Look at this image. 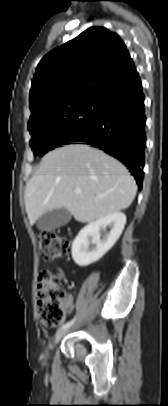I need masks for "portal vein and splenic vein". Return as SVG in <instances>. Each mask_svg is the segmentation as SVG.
Returning a JSON list of instances; mask_svg holds the SVG:
<instances>
[{
    "instance_id": "18ae733b",
    "label": "portal vein and splenic vein",
    "mask_w": 168,
    "mask_h": 406,
    "mask_svg": "<svg viewBox=\"0 0 168 406\" xmlns=\"http://www.w3.org/2000/svg\"><path fill=\"white\" fill-rule=\"evenodd\" d=\"M74 192H75L76 194H81L82 190H81L80 188H76V189L74 190Z\"/></svg>"
}]
</instances>
